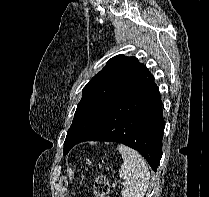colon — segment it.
<instances>
[{
	"label": "colon",
	"instance_id": "obj_1",
	"mask_svg": "<svg viewBox=\"0 0 209 197\" xmlns=\"http://www.w3.org/2000/svg\"><path fill=\"white\" fill-rule=\"evenodd\" d=\"M94 193L97 197H110V183L105 176L98 175L95 177Z\"/></svg>",
	"mask_w": 209,
	"mask_h": 197
}]
</instances>
